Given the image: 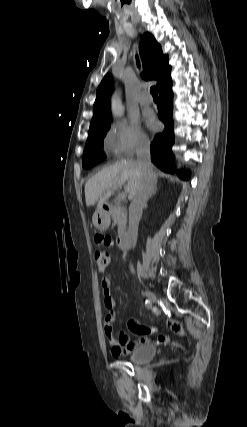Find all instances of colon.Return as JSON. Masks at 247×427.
Wrapping results in <instances>:
<instances>
[{
    "label": "colon",
    "instance_id": "obj_1",
    "mask_svg": "<svg viewBox=\"0 0 247 427\" xmlns=\"http://www.w3.org/2000/svg\"><path fill=\"white\" fill-rule=\"evenodd\" d=\"M94 262L100 272L105 271L110 264V255L106 251H96L94 254Z\"/></svg>",
    "mask_w": 247,
    "mask_h": 427
}]
</instances>
